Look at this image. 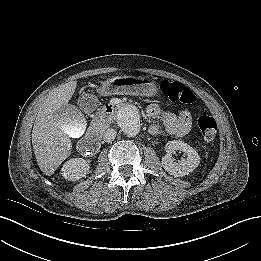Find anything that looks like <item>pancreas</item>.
I'll return each instance as SVG.
<instances>
[{
    "instance_id": "cf45deb5",
    "label": "pancreas",
    "mask_w": 261,
    "mask_h": 261,
    "mask_svg": "<svg viewBox=\"0 0 261 261\" xmlns=\"http://www.w3.org/2000/svg\"><path fill=\"white\" fill-rule=\"evenodd\" d=\"M109 122L106 118L100 117L95 120L93 127L99 132L103 133L106 128H108Z\"/></svg>"
}]
</instances>
